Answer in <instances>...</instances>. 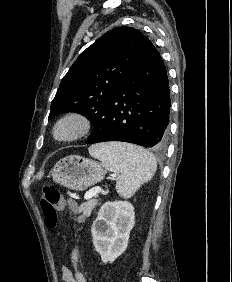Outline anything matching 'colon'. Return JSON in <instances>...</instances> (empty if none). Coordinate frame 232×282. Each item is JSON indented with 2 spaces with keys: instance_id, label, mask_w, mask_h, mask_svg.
<instances>
[{
  "instance_id": "5ec220e1",
  "label": "colon",
  "mask_w": 232,
  "mask_h": 282,
  "mask_svg": "<svg viewBox=\"0 0 232 282\" xmlns=\"http://www.w3.org/2000/svg\"><path fill=\"white\" fill-rule=\"evenodd\" d=\"M40 205L48 228L56 226L60 212L66 209L72 212L76 210V203L72 200H65L60 191L51 185L43 187Z\"/></svg>"
}]
</instances>
